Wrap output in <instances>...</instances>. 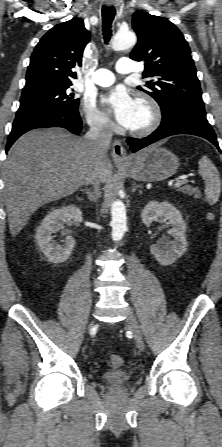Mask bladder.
<instances>
[{
    "label": "bladder",
    "instance_id": "31cf9c89",
    "mask_svg": "<svg viewBox=\"0 0 222 447\" xmlns=\"http://www.w3.org/2000/svg\"><path fill=\"white\" fill-rule=\"evenodd\" d=\"M101 378L106 386L112 389H122L126 387L130 380L131 374L122 370L105 372Z\"/></svg>",
    "mask_w": 222,
    "mask_h": 447
}]
</instances>
